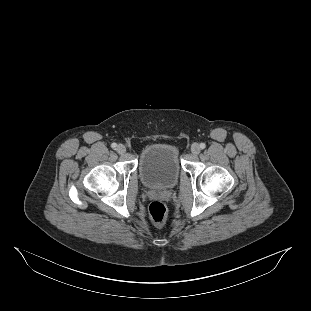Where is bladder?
I'll list each match as a JSON object with an SVG mask.
<instances>
[{"label":"bladder","mask_w":311,"mask_h":311,"mask_svg":"<svg viewBox=\"0 0 311 311\" xmlns=\"http://www.w3.org/2000/svg\"><path fill=\"white\" fill-rule=\"evenodd\" d=\"M139 173L143 184L151 189L174 187L180 177L181 163L178 147L171 142L148 145L141 154Z\"/></svg>","instance_id":"31cf9c89"}]
</instances>
